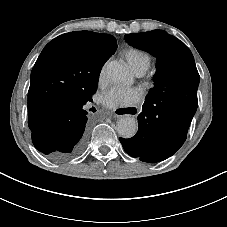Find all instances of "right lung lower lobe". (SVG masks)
<instances>
[{"label": "right lung lower lobe", "mask_w": 227, "mask_h": 227, "mask_svg": "<svg viewBox=\"0 0 227 227\" xmlns=\"http://www.w3.org/2000/svg\"><path fill=\"white\" fill-rule=\"evenodd\" d=\"M91 95L68 99L60 104L50 123L40 132H32L34 146L53 161L77 156L87 139L86 102Z\"/></svg>", "instance_id": "obj_1"}]
</instances>
